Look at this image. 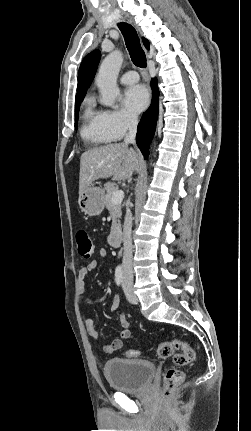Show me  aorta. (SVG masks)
Returning a JSON list of instances; mask_svg holds the SVG:
<instances>
[{
    "instance_id": "obj_1",
    "label": "aorta",
    "mask_w": 251,
    "mask_h": 431,
    "mask_svg": "<svg viewBox=\"0 0 251 431\" xmlns=\"http://www.w3.org/2000/svg\"><path fill=\"white\" fill-rule=\"evenodd\" d=\"M122 63L123 54L115 50L107 55L100 65L96 84L102 95L101 103L105 106L112 107L119 95L116 81Z\"/></svg>"
}]
</instances>
